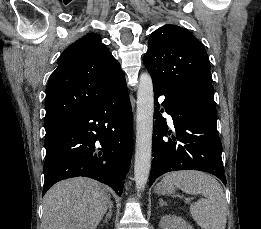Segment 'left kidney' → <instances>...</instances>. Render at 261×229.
Here are the masks:
<instances>
[{"instance_id":"1","label":"left kidney","mask_w":261,"mask_h":229,"mask_svg":"<svg viewBox=\"0 0 261 229\" xmlns=\"http://www.w3.org/2000/svg\"><path fill=\"white\" fill-rule=\"evenodd\" d=\"M159 229H192V227L184 219H181V217L164 215V217H161Z\"/></svg>"}]
</instances>
